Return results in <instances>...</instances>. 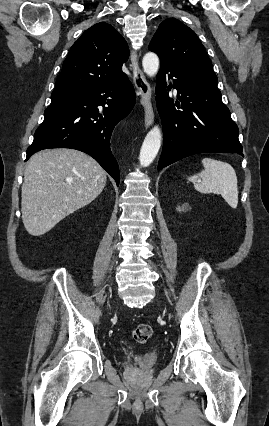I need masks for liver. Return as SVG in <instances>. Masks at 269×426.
Masks as SVG:
<instances>
[{"label":"liver","instance_id":"liver-1","mask_svg":"<svg viewBox=\"0 0 269 426\" xmlns=\"http://www.w3.org/2000/svg\"><path fill=\"white\" fill-rule=\"evenodd\" d=\"M106 172L74 149L34 154L25 169L21 212L27 232L41 236L74 211L90 204L106 185Z\"/></svg>","mask_w":269,"mask_h":426}]
</instances>
